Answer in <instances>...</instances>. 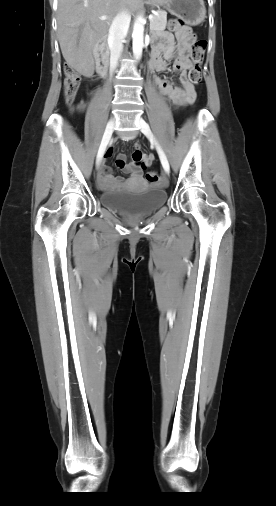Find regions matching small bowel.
<instances>
[{
  "mask_svg": "<svg viewBox=\"0 0 276 506\" xmlns=\"http://www.w3.org/2000/svg\"><path fill=\"white\" fill-rule=\"evenodd\" d=\"M194 37V33L188 27L176 33V43L171 35L163 34L160 35V41L153 46L151 51L150 70L152 73L165 71L167 61L176 58L172 69L180 75L181 86H177L166 79L153 78L161 95L175 106L188 105L196 99L194 86L186 78V72L191 65L187 53ZM85 106V103H81L79 109L83 110ZM134 148L135 151L132 154L133 160L131 162H126L125 154H120L116 161L117 167L128 174V180L125 181L120 176H115L110 168L101 167L98 175V185L101 189L121 188L127 182L139 181L142 178L143 170L152 164L153 156L143 154L138 144H135ZM106 155L109 157L111 150H107ZM136 156H139V158H136Z\"/></svg>",
  "mask_w": 276,
  "mask_h": 506,
  "instance_id": "small-bowel-1",
  "label": "small bowel"
}]
</instances>
